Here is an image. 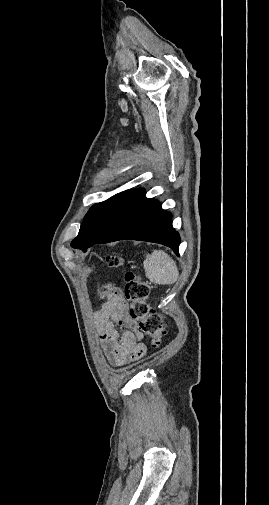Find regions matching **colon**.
Returning <instances> with one entry per match:
<instances>
[{"label": "colon", "mask_w": 269, "mask_h": 505, "mask_svg": "<svg viewBox=\"0 0 269 505\" xmlns=\"http://www.w3.org/2000/svg\"><path fill=\"white\" fill-rule=\"evenodd\" d=\"M106 263L109 267L121 266L122 259L117 255L108 256ZM124 296L131 303L130 316L135 320L140 331L145 334L153 347H159L163 341L165 330L162 316L152 310L148 304L151 283L133 272L125 275Z\"/></svg>", "instance_id": "5ec220e1"}]
</instances>
